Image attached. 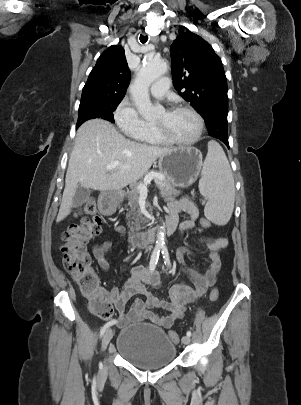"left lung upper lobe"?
Returning a JSON list of instances; mask_svg holds the SVG:
<instances>
[{
  "mask_svg": "<svg viewBox=\"0 0 301 405\" xmlns=\"http://www.w3.org/2000/svg\"><path fill=\"white\" fill-rule=\"evenodd\" d=\"M170 51L175 89L202 115L210 136H228V89L221 59L190 31L179 35Z\"/></svg>",
  "mask_w": 301,
  "mask_h": 405,
  "instance_id": "obj_1",
  "label": "left lung upper lobe"
}]
</instances>
